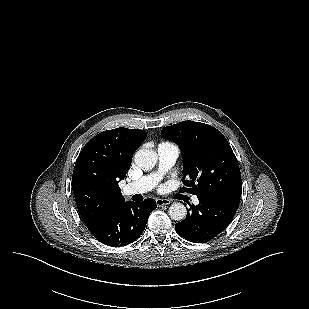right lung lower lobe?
I'll return each mask as SVG.
<instances>
[{"mask_svg": "<svg viewBox=\"0 0 309 309\" xmlns=\"http://www.w3.org/2000/svg\"><path fill=\"white\" fill-rule=\"evenodd\" d=\"M156 202H121L107 209L93 224L87 226L93 236L108 246L119 247L134 242L143 233Z\"/></svg>", "mask_w": 309, "mask_h": 309, "instance_id": "1", "label": "right lung lower lobe"}]
</instances>
